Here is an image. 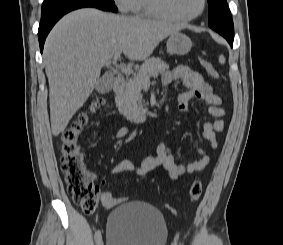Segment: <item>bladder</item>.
Listing matches in <instances>:
<instances>
[{"label": "bladder", "mask_w": 283, "mask_h": 245, "mask_svg": "<svg viewBox=\"0 0 283 245\" xmlns=\"http://www.w3.org/2000/svg\"><path fill=\"white\" fill-rule=\"evenodd\" d=\"M167 237L160 210L143 201L124 202L107 218V245H165Z\"/></svg>", "instance_id": "obj_1"}]
</instances>
